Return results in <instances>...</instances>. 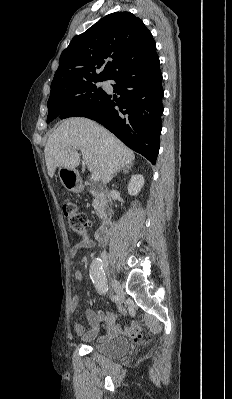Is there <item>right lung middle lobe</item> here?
Returning a JSON list of instances; mask_svg holds the SVG:
<instances>
[{
    "label": "right lung middle lobe",
    "mask_w": 232,
    "mask_h": 399,
    "mask_svg": "<svg viewBox=\"0 0 232 399\" xmlns=\"http://www.w3.org/2000/svg\"><path fill=\"white\" fill-rule=\"evenodd\" d=\"M99 81L103 80L83 83L67 92L50 95L48 99L47 123L57 118L61 113L65 117H70L80 110L100 104L107 93L102 88H97L95 83Z\"/></svg>",
    "instance_id": "dd1d6c3e"
}]
</instances>
